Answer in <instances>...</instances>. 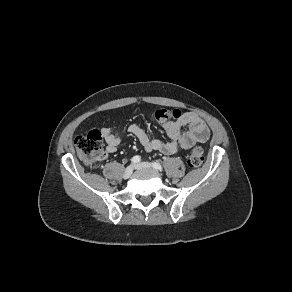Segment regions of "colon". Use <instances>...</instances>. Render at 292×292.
Listing matches in <instances>:
<instances>
[{"instance_id":"obj_1","label":"colon","mask_w":292,"mask_h":292,"mask_svg":"<svg viewBox=\"0 0 292 292\" xmlns=\"http://www.w3.org/2000/svg\"><path fill=\"white\" fill-rule=\"evenodd\" d=\"M178 110L160 109L154 113L155 119L176 117ZM75 147L81 160L87 165H95L103 156V136L98 130H92L86 135L75 139ZM204 161V151L200 146H194L188 157L190 167H199Z\"/></svg>"}]
</instances>
